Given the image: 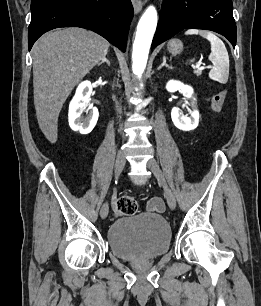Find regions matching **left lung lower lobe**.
Listing matches in <instances>:
<instances>
[{
    "instance_id": "obj_1",
    "label": "left lung lower lobe",
    "mask_w": 261,
    "mask_h": 306,
    "mask_svg": "<svg viewBox=\"0 0 261 306\" xmlns=\"http://www.w3.org/2000/svg\"><path fill=\"white\" fill-rule=\"evenodd\" d=\"M190 28L215 31L235 47L236 24L232 0H166L160 11L151 48Z\"/></svg>"
}]
</instances>
